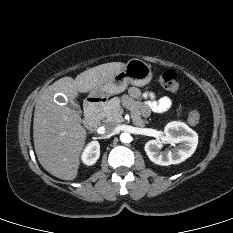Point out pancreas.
Returning <instances> with one entry per match:
<instances>
[{
    "mask_svg": "<svg viewBox=\"0 0 233 233\" xmlns=\"http://www.w3.org/2000/svg\"><path fill=\"white\" fill-rule=\"evenodd\" d=\"M99 116L104 122L113 124L121 123L123 121V117L122 109L120 106V99L118 97H114L109 100Z\"/></svg>",
    "mask_w": 233,
    "mask_h": 233,
    "instance_id": "obj_1",
    "label": "pancreas"
}]
</instances>
